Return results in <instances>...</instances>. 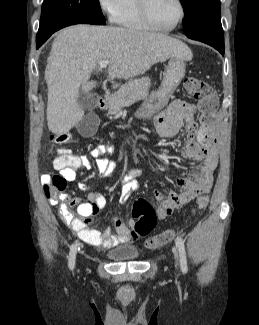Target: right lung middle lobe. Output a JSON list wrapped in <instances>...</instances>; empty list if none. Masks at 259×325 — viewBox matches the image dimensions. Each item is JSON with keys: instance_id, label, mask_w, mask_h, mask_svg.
<instances>
[{"instance_id": "obj_1", "label": "right lung middle lobe", "mask_w": 259, "mask_h": 325, "mask_svg": "<svg viewBox=\"0 0 259 325\" xmlns=\"http://www.w3.org/2000/svg\"><path fill=\"white\" fill-rule=\"evenodd\" d=\"M80 23L105 25L99 0H44L36 39Z\"/></svg>"}]
</instances>
